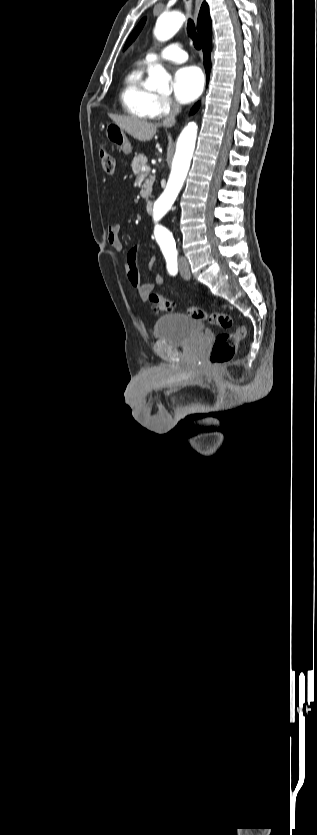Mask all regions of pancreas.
<instances>
[{"instance_id": "1", "label": "pancreas", "mask_w": 317, "mask_h": 835, "mask_svg": "<svg viewBox=\"0 0 317 835\" xmlns=\"http://www.w3.org/2000/svg\"><path fill=\"white\" fill-rule=\"evenodd\" d=\"M147 161H148V159L142 154H140L138 156H135L133 158V160H132V170H133V172L136 176L145 178L149 175L150 170L142 171L143 166L149 167L147 165ZM153 182H154V177H151L150 179H147L145 181V183L143 184V190L140 192L141 197H143L145 199H148V197L150 196L151 191H152Z\"/></svg>"}]
</instances>
